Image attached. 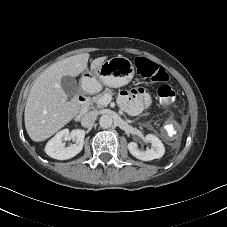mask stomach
I'll return each mask as SVG.
<instances>
[{
    "mask_svg": "<svg viewBox=\"0 0 227 227\" xmlns=\"http://www.w3.org/2000/svg\"><path fill=\"white\" fill-rule=\"evenodd\" d=\"M134 77V66L126 57L121 55L104 61L97 69L85 71L83 81L94 80L108 87L118 88L127 85ZM89 90L95 91L89 87Z\"/></svg>",
    "mask_w": 227,
    "mask_h": 227,
    "instance_id": "obj_1",
    "label": "stomach"
}]
</instances>
